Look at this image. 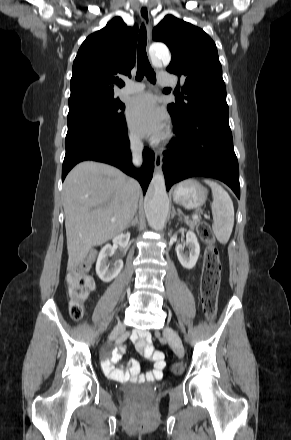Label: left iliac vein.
Instances as JSON below:
<instances>
[{"mask_svg":"<svg viewBox=\"0 0 291 440\" xmlns=\"http://www.w3.org/2000/svg\"><path fill=\"white\" fill-rule=\"evenodd\" d=\"M164 336L177 356L182 358L184 355V348L178 334L172 328L166 327L164 330Z\"/></svg>","mask_w":291,"mask_h":440,"instance_id":"obj_1","label":"left iliac vein"}]
</instances>
